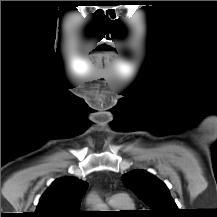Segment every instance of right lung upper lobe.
Masks as SVG:
<instances>
[{"mask_svg":"<svg viewBox=\"0 0 217 217\" xmlns=\"http://www.w3.org/2000/svg\"><path fill=\"white\" fill-rule=\"evenodd\" d=\"M88 187L86 181L73 177L55 180L39 200L33 217H82L80 202Z\"/></svg>","mask_w":217,"mask_h":217,"instance_id":"1","label":"right lung upper lobe"}]
</instances>
